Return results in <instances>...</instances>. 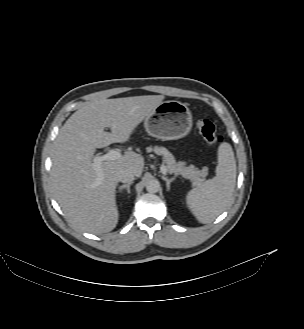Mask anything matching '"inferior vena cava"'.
Wrapping results in <instances>:
<instances>
[{"label":"inferior vena cava","instance_id":"inferior-vena-cava-1","mask_svg":"<svg viewBox=\"0 0 304 329\" xmlns=\"http://www.w3.org/2000/svg\"><path fill=\"white\" fill-rule=\"evenodd\" d=\"M117 179L122 183H129L135 179V174L129 169H123L118 172Z\"/></svg>","mask_w":304,"mask_h":329}]
</instances>
